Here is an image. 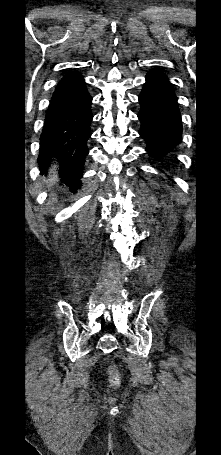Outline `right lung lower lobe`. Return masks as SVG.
Returning a JSON list of instances; mask_svg holds the SVG:
<instances>
[{
	"instance_id": "98d812e1",
	"label": "right lung lower lobe",
	"mask_w": 221,
	"mask_h": 455,
	"mask_svg": "<svg viewBox=\"0 0 221 455\" xmlns=\"http://www.w3.org/2000/svg\"><path fill=\"white\" fill-rule=\"evenodd\" d=\"M92 97L79 72H68L58 83L45 115L38 162L47 167L52 157L60 163L59 175L71 190L80 186L91 137Z\"/></svg>"
}]
</instances>
